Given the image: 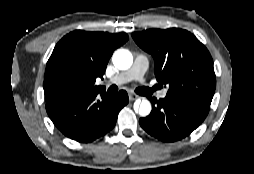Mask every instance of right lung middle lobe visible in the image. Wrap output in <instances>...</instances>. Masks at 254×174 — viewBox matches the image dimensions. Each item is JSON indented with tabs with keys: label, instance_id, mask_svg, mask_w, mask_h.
Masks as SVG:
<instances>
[{
	"label": "right lung middle lobe",
	"instance_id": "obj_1",
	"mask_svg": "<svg viewBox=\"0 0 254 174\" xmlns=\"http://www.w3.org/2000/svg\"><path fill=\"white\" fill-rule=\"evenodd\" d=\"M86 91V88L72 80H62L54 85L50 92V98H59Z\"/></svg>",
	"mask_w": 254,
	"mask_h": 174
}]
</instances>
